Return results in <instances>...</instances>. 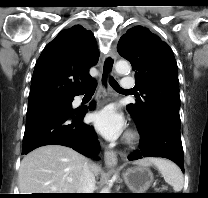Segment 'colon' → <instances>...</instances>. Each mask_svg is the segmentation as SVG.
<instances>
[{
	"instance_id": "5ec220e1",
	"label": "colon",
	"mask_w": 208,
	"mask_h": 198,
	"mask_svg": "<svg viewBox=\"0 0 208 198\" xmlns=\"http://www.w3.org/2000/svg\"><path fill=\"white\" fill-rule=\"evenodd\" d=\"M158 190L165 191V190H167V188L166 187H160Z\"/></svg>"
}]
</instances>
